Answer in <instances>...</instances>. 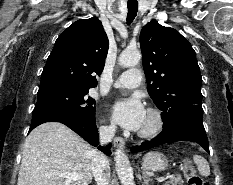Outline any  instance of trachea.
I'll use <instances>...</instances> for the list:
<instances>
[{
    "label": "trachea",
    "instance_id": "obj_1",
    "mask_svg": "<svg viewBox=\"0 0 233 185\" xmlns=\"http://www.w3.org/2000/svg\"><path fill=\"white\" fill-rule=\"evenodd\" d=\"M128 14H127V24L130 25L138 12V3H128Z\"/></svg>",
    "mask_w": 233,
    "mask_h": 185
}]
</instances>
